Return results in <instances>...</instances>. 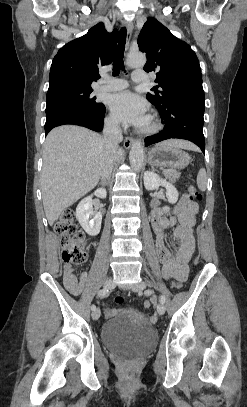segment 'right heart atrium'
<instances>
[{
  "instance_id": "1",
  "label": "right heart atrium",
  "mask_w": 247,
  "mask_h": 407,
  "mask_svg": "<svg viewBox=\"0 0 247 407\" xmlns=\"http://www.w3.org/2000/svg\"><path fill=\"white\" fill-rule=\"evenodd\" d=\"M106 123L112 128H116L118 126L116 119L112 115L106 117Z\"/></svg>"
}]
</instances>
